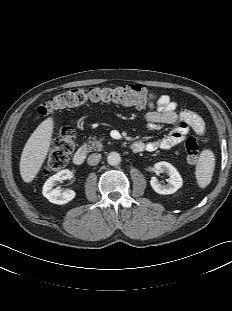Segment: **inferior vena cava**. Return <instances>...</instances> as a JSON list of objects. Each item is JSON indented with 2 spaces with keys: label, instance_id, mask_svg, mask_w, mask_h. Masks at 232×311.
Returning <instances> with one entry per match:
<instances>
[{
  "label": "inferior vena cava",
  "instance_id": "602c4592",
  "mask_svg": "<svg viewBox=\"0 0 232 311\" xmlns=\"http://www.w3.org/2000/svg\"><path fill=\"white\" fill-rule=\"evenodd\" d=\"M101 160V154L99 153H94V154H91L88 159H87V163L89 165H97Z\"/></svg>",
  "mask_w": 232,
  "mask_h": 311
}]
</instances>
